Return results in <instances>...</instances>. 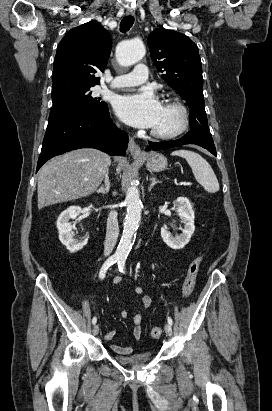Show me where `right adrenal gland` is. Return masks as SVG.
I'll return each instance as SVG.
<instances>
[{"mask_svg":"<svg viewBox=\"0 0 272 411\" xmlns=\"http://www.w3.org/2000/svg\"><path fill=\"white\" fill-rule=\"evenodd\" d=\"M104 184H105L104 186L102 185V186L97 190V193L106 194V193L109 192V190H110V181H109L108 172L105 174Z\"/></svg>","mask_w":272,"mask_h":411,"instance_id":"right-adrenal-gland-1","label":"right adrenal gland"}]
</instances>
